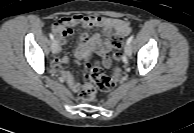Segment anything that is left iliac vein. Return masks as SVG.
Listing matches in <instances>:
<instances>
[{
  "mask_svg": "<svg viewBox=\"0 0 194 133\" xmlns=\"http://www.w3.org/2000/svg\"><path fill=\"white\" fill-rule=\"evenodd\" d=\"M124 52H125V54H126L128 57L131 56V54H132V47H131L130 44H127V43H126V45H125V47H124Z\"/></svg>",
  "mask_w": 194,
  "mask_h": 133,
  "instance_id": "1",
  "label": "left iliac vein"
}]
</instances>
